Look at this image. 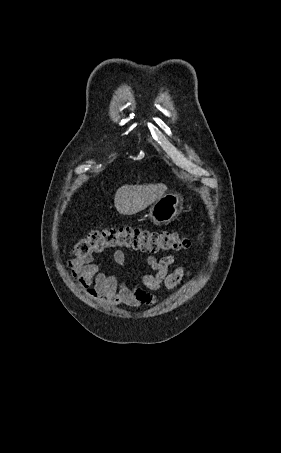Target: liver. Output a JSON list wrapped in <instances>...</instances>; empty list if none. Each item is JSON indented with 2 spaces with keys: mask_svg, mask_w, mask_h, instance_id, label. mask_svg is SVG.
Returning a JSON list of instances; mask_svg holds the SVG:
<instances>
[{
  "mask_svg": "<svg viewBox=\"0 0 281 453\" xmlns=\"http://www.w3.org/2000/svg\"><path fill=\"white\" fill-rule=\"evenodd\" d=\"M166 184H123L115 192L114 204L120 214H136L163 196Z\"/></svg>",
  "mask_w": 281,
  "mask_h": 453,
  "instance_id": "obj_1",
  "label": "liver"
}]
</instances>
